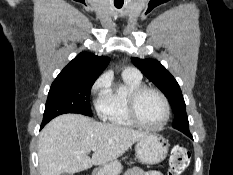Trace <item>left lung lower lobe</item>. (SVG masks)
I'll return each mask as SVG.
<instances>
[{
  "label": "left lung lower lobe",
  "mask_w": 233,
  "mask_h": 175,
  "mask_svg": "<svg viewBox=\"0 0 233 175\" xmlns=\"http://www.w3.org/2000/svg\"><path fill=\"white\" fill-rule=\"evenodd\" d=\"M187 136H189V137H191V138H192V135H191V134H189V135H187Z\"/></svg>",
  "instance_id": "left-lung-lower-lobe-1"
}]
</instances>
